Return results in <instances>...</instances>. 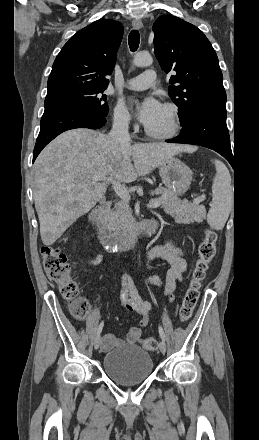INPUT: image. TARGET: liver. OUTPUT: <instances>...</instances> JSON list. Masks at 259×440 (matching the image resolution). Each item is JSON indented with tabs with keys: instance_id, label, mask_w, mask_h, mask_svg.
Instances as JSON below:
<instances>
[{
	"instance_id": "obj_1",
	"label": "liver",
	"mask_w": 259,
	"mask_h": 440,
	"mask_svg": "<svg viewBox=\"0 0 259 440\" xmlns=\"http://www.w3.org/2000/svg\"><path fill=\"white\" fill-rule=\"evenodd\" d=\"M195 148L167 143H117L109 135L86 128L56 137L38 156L33 196L42 242L50 246L106 192L108 180L121 183L145 176L167 159Z\"/></svg>"
}]
</instances>
